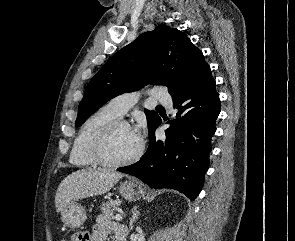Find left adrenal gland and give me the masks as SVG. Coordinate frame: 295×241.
<instances>
[{
    "label": "left adrenal gland",
    "mask_w": 295,
    "mask_h": 241,
    "mask_svg": "<svg viewBox=\"0 0 295 241\" xmlns=\"http://www.w3.org/2000/svg\"><path fill=\"white\" fill-rule=\"evenodd\" d=\"M137 208V206H134L132 208V216L130 218L129 230L133 229V223L137 220L138 216L140 215V212L137 210Z\"/></svg>",
    "instance_id": "obj_1"
}]
</instances>
